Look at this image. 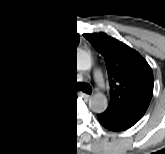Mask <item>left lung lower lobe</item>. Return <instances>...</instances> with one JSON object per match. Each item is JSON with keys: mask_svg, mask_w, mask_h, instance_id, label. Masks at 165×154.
I'll use <instances>...</instances> for the list:
<instances>
[{"mask_svg": "<svg viewBox=\"0 0 165 154\" xmlns=\"http://www.w3.org/2000/svg\"><path fill=\"white\" fill-rule=\"evenodd\" d=\"M99 123L108 130L122 131L133 126L138 120L134 118L120 117L108 112L97 114Z\"/></svg>", "mask_w": 165, "mask_h": 154, "instance_id": "0a47b994", "label": "left lung lower lobe"}]
</instances>
